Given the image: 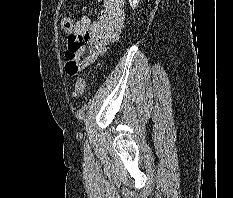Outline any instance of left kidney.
<instances>
[{"label":"left kidney","instance_id":"1","mask_svg":"<svg viewBox=\"0 0 233 198\" xmlns=\"http://www.w3.org/2000/svg\"><path fill=\"white\" fill-rule=\"evenodd\" d=\"M130 2V6L132 7V9L136 8L140 2V0H129Z\"/></svg>","mask_w":233,"mask_h":198}]
</instances>
